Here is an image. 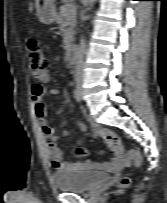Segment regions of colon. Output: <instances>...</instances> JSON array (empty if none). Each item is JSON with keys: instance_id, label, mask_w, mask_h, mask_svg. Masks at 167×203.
I'll use <instances>...</instances> for the list:
<instances>
[{"instance_id": "1", "label": "colon", "mask_w": 167, "mask_h": 203, "mask_svg": "<svg viewBox=\"0 0 167 203\" xmlns=\"http://www.w3.org/2000/svg\"><path fill=\"white\" fill-rule=\"evenodd\" d=\"M28 62L30 70L33 74H39L43 72L48 65V58L45 52L39 46L37 40L34 37H29L26 42ZM77 155L81 156L86 154V151L82 148L77 150ZM121 162L125 165H140L142 157L137 150H129L124 152L122 150ZM130 183L128 177H123L120 181L121 187H126Z\"/></svg>"}]
</instances>
